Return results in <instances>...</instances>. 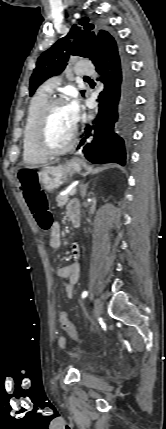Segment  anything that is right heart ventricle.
<instances>
[{
	"label": "right heart ventricle",
	"mask_w": 166,
	"mask_h": 429,
	"mask_svg": "<svg viewBox=\"0 0 166 429\" xmlns=\"http://www.w3.org/2000/svg\"><path fill=\"white\" fill-rule=\"evenodd\" d=\"M48 99H49V92L40 90L32 98L28 108L24 130H23L22 155H23V160L29 164L44 163L48 158L47 156L37 151L33 145V131H34L35 121L43 105L48 101Z\"/></svg>",
	"instance_id": "e07e8e85"
}]
</instances>
